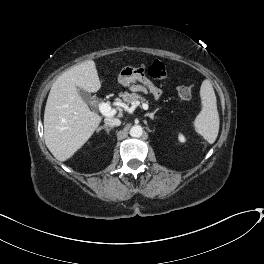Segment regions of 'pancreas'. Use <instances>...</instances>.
Segmentation results:
<instances>
[{
  "label": "pancreas",
  "instance_id": "1",
  "mask_svg": "<svg viewBox=\"0 0 264 264\" xmlns=\"http://www.w3.org/2000/svg\"><path fill=\"white\" fill-rule=\"evenodd\" d=\"M120 96L122 97L123 101L127 104H130V103L132 104V103H137V102L148 103V101L144 97H141L140 95L136 93L124 92V93H121Z\"/></svg>",
  "mask_w": 264,
  "mask_h": 264
}]
</instances>
